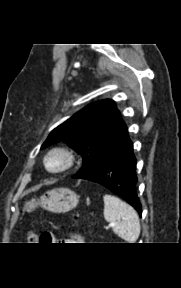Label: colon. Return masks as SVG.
Masks as SVG:
<instances>
[{
    "label": "colon",
    "mask_w": 181,
    "mask_h": 288,
    "mask_svg": "<svg viewBox=\"0 0 181 288\" xmlns=\"http://www.w3.org/2000/svg\"><path fill=\"white\" fill-rule=\"evenodd\" d=\"M49 235L48 233H43L38 235L36 233L31 232L28 236V243H39V242H49Z\"/></svg>",
    "instance_id": "5ec220e1"
}]
</instances>
